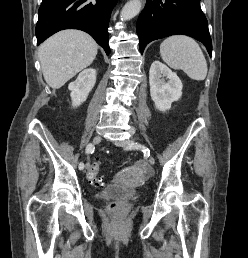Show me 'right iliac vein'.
<instances>
[{"label":"right iliac vein","instance_id":"obj_1","mask_svg":"<svg viewBox=\"0 0 248 258\" xmlns=\"http://www.w3.org/2000/svg\"><path fill=\"white\" fill-rule=\"evenodd\" d=\"M101 140H102V137L100 135H97L93 138V143L99 144L101 142ZM88 169H89V164L87 163L86 170H88Z\"/></svg>","mask_w":248,"mask_h":258}]
</instances>
